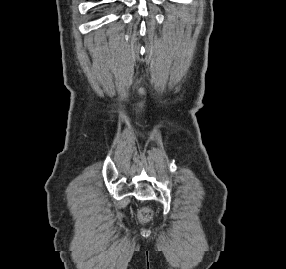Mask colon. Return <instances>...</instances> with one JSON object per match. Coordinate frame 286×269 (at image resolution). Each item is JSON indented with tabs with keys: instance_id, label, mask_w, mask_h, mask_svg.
I'll return each instance as SVG.
<instances>
[{
	"instance_id": "1",
	"label": "colon",
	"mask_w": 286,
	"mask_h": 269,
	"mask_svg": "<svg viewBox=\"0 0 286 269\" xmlns=\"http://www.w3.org/2000/svg\"><path fill=\"white\" fill-rule=\"evenodd\" d=\"M140 216L142 219H148V218H150L151 213L148 210L144 209L141 211Z\"/></svg>"
}]
</instances>
